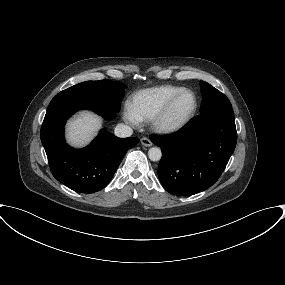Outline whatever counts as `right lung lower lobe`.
<instances>
[{
  "label": "right lung lower lobe",
  "instance_id": "98d812e1",
  "mask_svg": "<svg viewBox=\"0 0 285 285\" xmlns=\"http://www.w3.org/2000/svg\"><path fill=\"white\" fill-rule=\"evenodd\" d=\"M81 109H90L106 119L116 116V113L76 98L56 95L41 126V142L51 172L59 182L76 192L94 193L110 182L127 150L133 148L139 139L118 138L101 130L90 146L71 148L64 139V125L73 113Z\"/></svg>",
  "mask_w": 285,
  "mask_h": 285
}]
</instances>
